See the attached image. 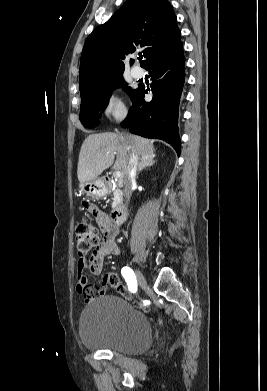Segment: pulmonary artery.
Returning <instances> with one entry per match:
<instances>
[{
    "label": "pulmonary artery",
    "instance_id": "1",
    "mask_svg": "<svg viewBox=\"0 0 267 391\" xmlns=\"http://www.w3.org/2000/svg\"><path fill=\"white\" fill-rule=\"evenodd\" d=\"M131 73L134 78H141L144 75V71L140 67H133Z\"/></svg>",
    "mask_w": 267,
    "mask_h": 391
}]
</instances>
